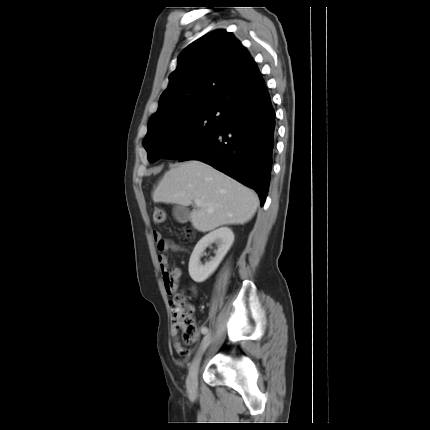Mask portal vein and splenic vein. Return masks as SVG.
<instances>
[{
    "label": "portal vein and splenic vein",
    "instance_id": "portal-vein-and-splenic-vein-1",
    "mask_svg": "<svg viewBox=\"0 0 430 430\" xmlns=\"http://www.w3.org/2000/svg\"><path fill=\"white\" fill-rule=\"evenodd\" d=\"M194 203H195V205L197 206V207H201V206H203L204 204H203V201L202 200H200V199H195L194 200Z\"/></svg>",
    "mask_w": 430,
    "mask_h": 430
}]
</instances>
